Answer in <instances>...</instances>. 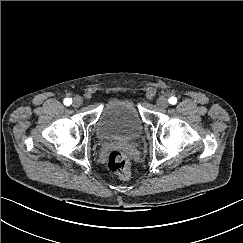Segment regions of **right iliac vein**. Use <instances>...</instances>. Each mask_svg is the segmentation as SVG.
<instances>
[{
	"label": "right iliac vein",
	"instance_id": "63e3f726",
	"mask_svg": "<svg viewBox=\"0 0 243 243\" xmlns=\"http://www.w3.org/2000/svg\"><path fill=\"white\" fill-rule=\"evenodd\" d=\"M82 102H83V101H82V98L79 97V96H76V97L73 98V103H72V105H73L75 108H78V107L81 106Z\"/></svg>",
	"mask_w": 243,
	"mask_h": 243
}]
</instances>
